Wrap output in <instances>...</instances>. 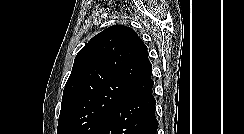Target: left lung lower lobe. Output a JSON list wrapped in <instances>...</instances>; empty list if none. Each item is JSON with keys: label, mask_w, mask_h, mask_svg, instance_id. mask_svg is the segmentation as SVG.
I'll list each match as a JSON object with an SVG mask.
<instances>
[{"label": "left lung lower lobe", "mask_w": 244, "mask_h": 134, "mask_svg": "<svg viewBox=\"0 0 244 134\" xmlns=\"http://www.w3.org/2000/svg\"><path fill=\"white\" fill-rule=\"evenodd\" d=\"M155 105L152 91L127 100L111 113L98 134H156Z\"/></svg>", "instance_id": "obj_1"}]
</instances>
